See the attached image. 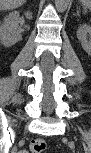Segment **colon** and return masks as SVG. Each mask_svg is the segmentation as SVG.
<instances>
[{
    "instance_id": "5ec220e1",
    "label": "colon",
    "mask_w": 91,
    "mask_h": 153,
    "mask_svg": "<svg viewBox=\"0 0 91 153\" xmlns=\"http://www.w3.org/2000/svg\"><path fill=\"white\" fill-rule=\"evenodd\" d=\"M30 152L42 153L48 149V142L45 139H33L29 146Z\"/></svg>"
}]
</instances>
